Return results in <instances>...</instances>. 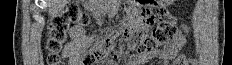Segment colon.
Here are the masks:
<instances>
[{
  "label": "colon",
  "mask_w": 232,
  "mask_h": 65,
  "mask_svg": "<svg viewBox=\"0 0 232 65\" xmlns=\"http://www.w3.org/2000/svg\"><path fill=\"white\" fill-rule=\"evenodd\" d=\"M148 12V11H143ZM90 25L89 15L77 5L71 4L65 10L55 16L49 26L46 40L47 62L49 65H62L61 56L65 55L64 45L70 28ZM177 32L175 19L164 7L158 9V23L151 35L145 36L138 44L137 51L144 54L157 50L166 44ZM117 58L118 53L114 49V37H106L97 42L83 55L84 65H94L103 59Z\"/></svg>",
  "instance_id": "1"
}]
</instances>
